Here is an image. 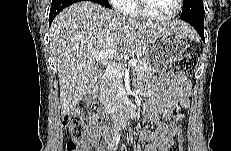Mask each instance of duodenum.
Instances as JSON below:
<instances>
[{"label": "duodenum", "instance_id": "duodenum-1", "mask_svg": "<svg viewBox=\"0 0 231 151\" xmlns=\"http://www.w3.org/2000/svg\"><path fill=\"white\" fill-rule=\"evenodd\" d=\"M99 89V80L93 82L90 87V97L88 98L91 101L94 95L97 93ZM134 113V109L130 103V99L127 95H124L117 103V106L113 112V121L117 127H121L124 125L126 118L129 115Z\"/></svg>", "mask_w": 231, "mask_h": 151}]
</instances>
